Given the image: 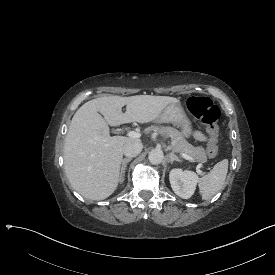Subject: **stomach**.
<instances>
[{"instance_id": "stomach-1", "label": "stomach", "mask_w": 275, "mask_h": 275, "mask_svg": "<svg viewBox=\"0 0 275 275\" xmlns=\"http://www.w3.org/2000/svg\"><path fill=\"white\" fill-rule=\"evenodd\" d=\"M158 123H173L181 128V134L188 138L192 134L191 121L186 116L183 107L179 103H171L166 106L159 117L155 120Z\"/></svg>"}]
</instances>
